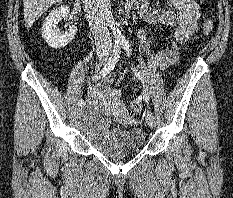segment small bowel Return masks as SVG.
Segmentation results:
<instances>
[{
  "label": "small bowel",
  "instance_id": "small-bowel-1",
  "mask_svg": "<svg viewBox=\"0 0 233 198\" xmlns=\"http://www.w3.org/2000/svg\"><path fill=\"white\" fill-rule=\"evenodd\" d=\"M175 13L164 9H155L142 5L140 17L148 24H161L173 29L171 44L168 50L155 51L152 42L144 31H140L138 39L141 47L148 55L151 63L160 69H166L177 61L179 45L186 42L194 33L200 16V9L195 0H169ZM115 74L110 73L100 81L88 87L91 99L107 104L118 116L125 115V107L120 101V91L112 88Z\"/></svg>",
  "mask_w": 233,
  "mask_h": 198
}]
</instances>
